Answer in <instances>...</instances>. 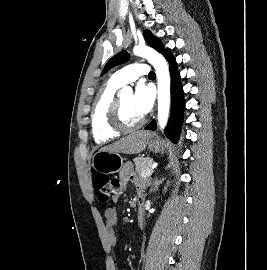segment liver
Listing matches in <instances>:
<instances>
[{
    "mask_svg": "<svg viewBox=\"0 0 267 270\" xmlns=\"http://www.w3.org/2000/svg\"><path fill=\"white\" fill-rule=\"evenodd\" d=\"M151 133L146 131L132 132L127 136L103 147L102 151L121 152L124 154H137L142 152L146 146Z\"/></svg>",
    "mask_w": 267,
    "mask_h": 270,
    "instance_id": "obj_1",
    "label": "liver"
}]
</instances>
